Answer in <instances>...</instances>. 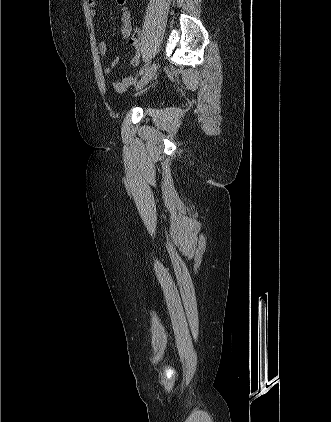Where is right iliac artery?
<instances>
[{
  "label": "right iliac artery",
  "mask_w": 331,
  "mask_h": 422,
  "mask_svg": "<svg viewBox=\"0 0 331 422\" xmlns=\"http://www.w3.org/2000/svg\"><path fill=\"white\" fill-rule=\"evenodd\" d=\"M149 67V62H147L140 70L139 74L142 75L144 74V72L147 70V68Z\"/></svg>",
  "instance_id": "obj_1"
}]
</instances>
